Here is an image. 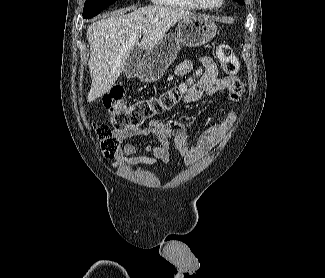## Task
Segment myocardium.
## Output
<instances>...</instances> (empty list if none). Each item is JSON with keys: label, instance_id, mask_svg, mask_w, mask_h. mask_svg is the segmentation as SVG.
<instances>
[{"label": "myocardium", "instance_id": "obj_1", "mask_svg": "<svg viewBox=\"0 0 325 278\" xmlns=\"http://www.w3.org/2000/svg\"><path fill=\"white\" fill-rule=\"evenodd\" d=\"M193 2L201 9H204V10H217L219 9L220 7L223 6L225 0H220L219 4L216 5V6H207L205 5L202 0H193Z\"/></svg>", "mask_w": 325, "mask_h": 278}]
</instances>
